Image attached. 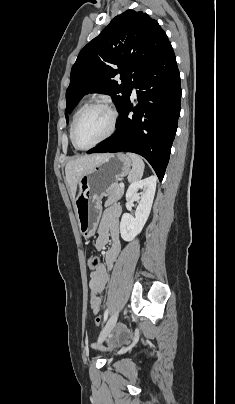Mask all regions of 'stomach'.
Wrapping results in <instances>:
<instances>
[{
    "instance_id": "obj_1",
    "label": "stomach",
    "mask_w": 235,
    "mask_h": 404,
    "mask_svg": "<svg viewBox=\"0 0 235 404\" xmlns=\"http://www.w3.org/2000/svg\"><path fill=\"white\" fill-rule=\"evenodd\" d=\"M131 165V159L124 153L107 154L79 180L74 209L84 238L95 234L102 213L101 199L108 195L114 183L130 172Z\"/></svg>"
}]
</instances>
